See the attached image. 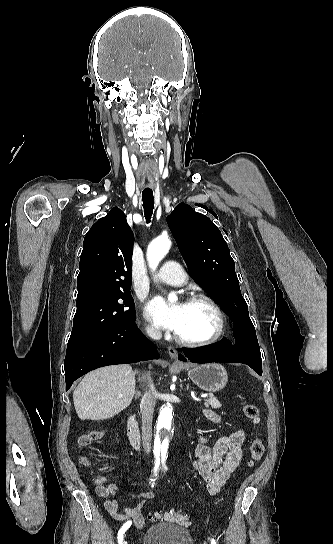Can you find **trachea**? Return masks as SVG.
<instances>
[{
  "label": "trachea",
  "mask_w": 333,
  "mask_h": 544,
  "mask_svg": "<svg viewBox=\"0 0 333 544\" xmlns=\"http://www.w3.org/2000/svg\"><path fill=\"white\" fill-rule=\"evenodd\" d=\"M142 201H143L145 219L147 223H149L151 216L153 214V208H154L153 191L143 190Z\"/></svg>",
  "instance_id": "trachea-1"
}]
</instances>
